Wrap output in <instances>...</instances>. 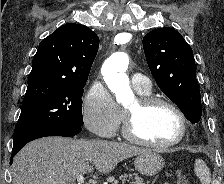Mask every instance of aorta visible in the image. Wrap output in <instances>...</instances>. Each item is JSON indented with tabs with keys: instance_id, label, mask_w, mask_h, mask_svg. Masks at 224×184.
<instances>
[{
	"instance_id": "762f6f07",
	"label": "aorta",
	"mask_w": 224,
	"mask_h": 184,
	"mask_svg": "<svg viewBox=\"0 0 224 184\" xmlns=\"http://www.w3.org/2000/svg\"><path fill=\"white\" fill-rule=\"evenodd\" d=\"M129 65L127 54L118 52L112 54L102 66V75L109 89L115 93L118 103L125 104L133 99L126 71Z\"/></svg>"
}]
</instances>
